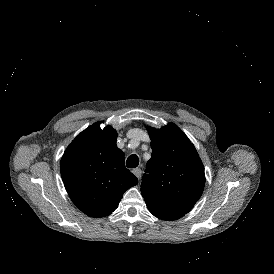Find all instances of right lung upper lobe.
<instances>
[{
    "label": "right lung upper lobe",
    "instance_id": "1",
    "mask_svg": "<svg viewBox=\"0 0 274 274\" xmlns=\"http://www.w3.org/2000/svg\"><path fill=\"white\" fill-rule=\"evenodd\" d=\"M117 132L100 122L81 132L67 147L60 171L73 203L90 217H104L118 206L124 192L138 183L125 167L116 145Z\"/></svg>",
    "mask_w": 274,
    "mask_h": 274
}]
</instances>
